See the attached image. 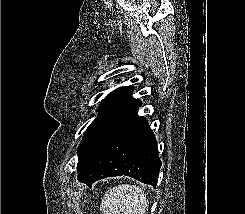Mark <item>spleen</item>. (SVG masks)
Instances as JSON below:
<instances>
[{"mask_svg": "<svg viewBox=\"0 0 245 214\" xmlns=\"http://www.w3.org/2000/svg\"><path fill=\"white\" fill-rule=\"evenodd\" d=\"M147 206L148 201L142 188L122 184L104 194L100 210L104 214H145Z\"/></svg>", "mask_w": 245, "mask_h": 214, "instance_id": "spleen-1", "label": "spleen"}]
</instances>
